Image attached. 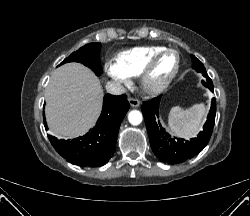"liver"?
Masks as SVG:
<instances>
[{
    "instance_id": "6515ba94",
    "label": "liver",
    "mask_w": 250,
    "mask_h": 216,
    "mask_svg": "<svg viewBox=\"0 0 250 216\" xmlns=\"http://www.w3.org/2000/svg\"><path fill=\"white\" fill-rule=\"evenodd\" d=\"M102 97L100 81L89 68L74 62L57 68L45 92L51 133L59 138L85 134L100 114Z\"/></svg>"
}]
</instances>
